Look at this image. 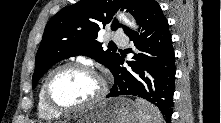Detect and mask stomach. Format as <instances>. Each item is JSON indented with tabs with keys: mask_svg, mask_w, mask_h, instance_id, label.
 Returning a JSON list of instances; mask_svg holds the SVG:
<instances>
[{
	"mask_svg": "<svg viewBox=\"0 0 221 123\" xmlns=\"http://www.w3.org/2000/svg\"><path fill=\"white\" fill-rule=\"evenodd\" d=\"M136 103L127 97H114L93 105L72 117L68 123H137Z\"/></svg>",
	"mask_w": 221,
	"mask_h": 123,
	"instance_id": "1",
	"label": "stomach"
}]
</instances>
